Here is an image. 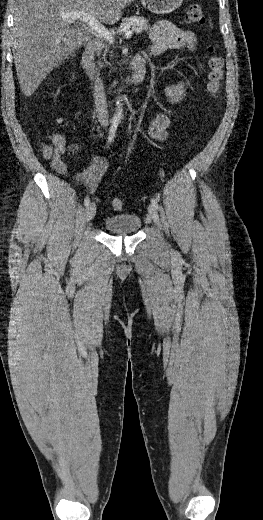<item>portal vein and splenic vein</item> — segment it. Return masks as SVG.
<instances>
[{"label":"portal vein and splenic vein","mask_w":263,"mask_h":520,"mask_svg":"<svg viewBox=\"0 0 263 520\" xmlns=\"http://www.w3.org/2000/svg\"><path fill=\"white\" fill-rule=\"evenodd\" d=\"M62 18L83 21L91 28L92 31H95L99 36L103 37L109 43H113L112 33L93 16L85 12L62 13ZM132 33L133 32L131 30L125 31V38H130Z\"/></svg>","instance_id":"obj_1"}]
</instances>
